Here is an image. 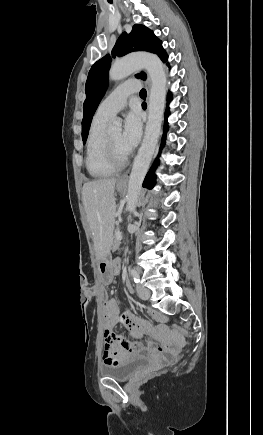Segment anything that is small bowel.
Wrapping results in <instances>:
<instances>
[{
  "mask_svg": "<svg viewBox=\"0 0 263 435\" xmlns=\"http://www.w3.org/2000/svg\"><path fill=\"white\" fill-rule=\"evenodd\" d=\"M120 266V260L115 259L110 269L117 275L120 271ZM152 315L160 322L167 321V318L159 313L154 312ZM118 324L128 328L135 335L150 334V338L166 342L164 347H157L156 349L152 343L144 344L139 340H129L114 333V343L111 350H103V362L105 364L119 363L144 353H156L157 356H168V354H174V349L182 350L184 348L182 341H176V332H161L160 329L153 328L147 321L131 312L121 313L116 300L111 298L105 303L103 308L104 330L106 328L114 330ZM171 341L175 342L172 343Z\"/></svg>",
  "mask_w": 263,
  "mask_h": 435,
  "instance_id": "1",
  "label": "small bowel"
}]
</instances>
